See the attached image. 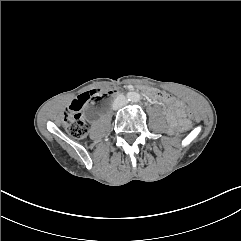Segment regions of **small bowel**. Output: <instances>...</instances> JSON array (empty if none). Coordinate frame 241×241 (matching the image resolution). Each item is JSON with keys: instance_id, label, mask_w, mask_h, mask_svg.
Returning <instances> with one entry per match:
<instances>
[{"instance_id": "c3829d8e", "label": "small bowel", "mask_w": 241, "mask_h": 241, "mask_svg": "<svg viewBox=\"0 0 241 241\" xmlns=\"http://www.w3.org/2000/svg\"><path fill=\"white\" fill-rule=\"evenodd\" d=\"M112 92H116V90H112ZM155 95L171 106L172 109L167 113V119L172 127L188 124L185 118V104L181 100L158 93Z\"/></svg>"}]
</instances>
